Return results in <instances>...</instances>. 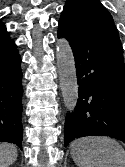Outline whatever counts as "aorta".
Masks as SVG:
<instances>
[{
    "instance_id": "762f6f07",
    "label": "aorta",
    "mask_w": 125,
    "mask_h": 167,
    "mask_svg": "<svg viewBox=\"0 0 125 167\" xmlns=\"http://www.w3.org/2000/svg\"><path fill=\"white\" fill-rule=\"evenodd\" d=\"M56 60L64 104L72 112L78 100V84L73 52L65 38L56 42Z\"/></svg>"
}]
</instances>
